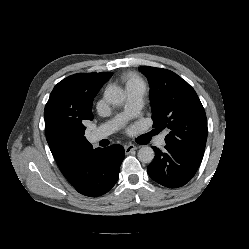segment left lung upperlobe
Wrapping results in <instances>:
<instances>
[{
    "label": "left lung upper lobe",
    "instance_id": "1",
    "mask_svg": "<svg viewBox=\"0 0 249 249\" xmlns=\"http://www.w3.org/2000/svg\"><path fill=\"white\" fill-rule=\"evenodd\" d=\"M139 70L150 84L153 127L168 129L166 144L203 158L207 119L194 89L172 71L149 66Z\"/></svg>",
    "mask_w": 249,
    "mask_h": 249
}]
</instances>
